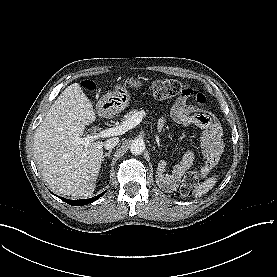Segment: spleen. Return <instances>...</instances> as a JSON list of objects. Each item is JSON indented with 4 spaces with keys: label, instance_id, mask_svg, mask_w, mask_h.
Returning a JSON list of instances; mask_svg holds the SVG:
<instances>
[{
    "label": "spleen",
    "instance_id": "obj_1",
    "mask_svg": "<svg viewBox=\"0 0 277 277\" xmlns=\"http://www.w3.org/2000/svg\"><path fill=\"white\" fill-rule=\"evenodd\" d=\"M217 179L215 177H211L206 179L202 184L199 185L198 189L195 192L196 197H201L202 195L206 194L213 188Z\"/></svg>",
    "mask_w": 277,
    "mask_h": 277
}]
</instances>
